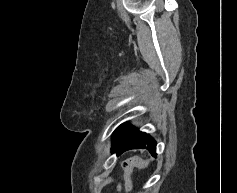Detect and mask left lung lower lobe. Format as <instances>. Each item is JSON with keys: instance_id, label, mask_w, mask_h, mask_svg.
<instances>
[{"instance_id": "obj_1", "label": "left lung lower lobe", "mask_w": 237, "mask_h": 193, "mask_svg": "<svg viewBox=\"0 0 237 193\" xmlns=\"http://www.w3.org/2000/svg\"><path fill=\"white\" fill-rule=\"evenodd\" d=\"M139 148L147 149L153 156H156L155 140L146 133L139 132L136 128L128 124L119 140L112 145V152H116L117 155H120L124 151Z\"/></svg>"}]
</instances>
